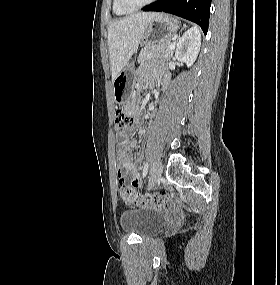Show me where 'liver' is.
Returning <instances> with one entry per match:
<instances>
[{
  "label": "liver",
  "mask_w": 280,
  "mask_h": 285,
  "mask_svg": "<svg viewBox=\"0 0 280 285\" xmlns=\"http://www.w3.org/2000/svg\"><path fill=\"white\" fill-rule=\"evenodd\" d=\"M157 13H136L114 21L108 30V48L112 81L128 65L149 23Z\"/></svg>",
  "instance_id": "obj_1"
}]
</instances>
